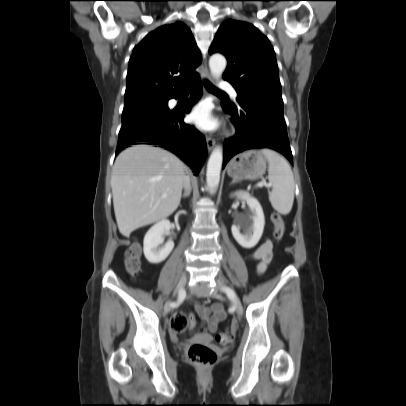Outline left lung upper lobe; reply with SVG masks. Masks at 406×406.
I'll return each mask as SVG.
<instances>
[{
    "label": "left lung upper lobe",
    "instance_id": "1",
    "mask_svg": "<svg viewBox=\"0 0 406 406\" xmlns=\"http://www.w3.org/2000/svg\"><path fill=\"white\" fill-rule=\"evenodd\" d=\"M209 52L226 56L228 66L223 78L238 94L236 105L222 102V106L240 111L252 104H263L283 110L275 52L268 38L256 27L226 20L219 27Z\"/></svg>",
    "mask_w": 406,
    "mask_h": 406
}]
</instances>
